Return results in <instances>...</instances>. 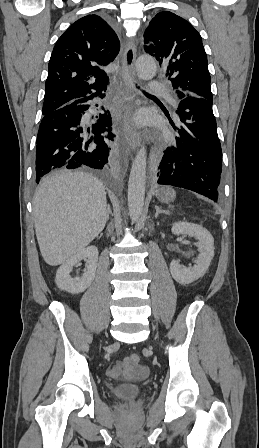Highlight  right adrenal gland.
<instances>
[{
    "instance_id": "1",
    "label": "right adrenal gland",
    "mask_w": 259,
    "mask_h": 448,
    "mask_svg": "<svg viewBox=\"0 0 259 448\" xmlns=\"http://www.w3.org/2000/svg\"><path fill=\"white\" fill-rule=\"evenodd\" d=\"M109 214H111V210H110V208H109V206H108V216H107V220H109Z\"/></svg>"
}]
</instances>
